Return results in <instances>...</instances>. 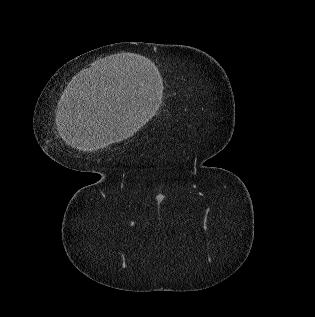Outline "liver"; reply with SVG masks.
I'll return each mask as SVG.
<instances>
[{"label":"liver","mask_w":315,"mask_h":317,"mask_svg":"<svg viewBox=\"0 0 315 317\" xmlns=\"http://www.w3.org/2000/svg\"><path fill=\"white\" fill-rule=\"evenodd\" d=\"M62 111L59 131L64 141L84 152L120 142L141 127L125 111L116 109L115 105H101L95 97L68 103Z\"/></svg>","instance_id":"6515ba94"}]
</instances>
